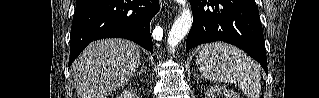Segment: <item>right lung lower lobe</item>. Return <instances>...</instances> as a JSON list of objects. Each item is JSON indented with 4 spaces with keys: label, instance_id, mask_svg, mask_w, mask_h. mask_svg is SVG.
I'll return each instance as SVG.
<instances>
[{
    "label": "right lung lower lobe",
    "instance_id": "1",
    "mask_svg": "<svg viewBox=\"0 0 319 98\" xmlns=\"http://www.w3.org/2000/svg\"><path fill=\"white\" fill-rule=\"evenodd\" d=\"M158 11V0H77L69 65L89 43L103 38H126L153 52L149 24Z\"/></svg>",
    "mask_w": 319,
    "mask_h": 98
}]
</instances>
